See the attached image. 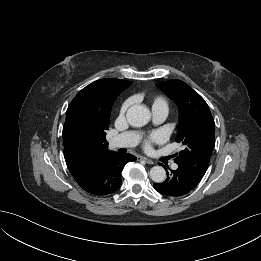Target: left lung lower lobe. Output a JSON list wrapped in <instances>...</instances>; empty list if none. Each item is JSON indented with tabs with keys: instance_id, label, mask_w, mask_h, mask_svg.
I'll return each mask as SVG.
<instances>
[{
	"instance_id": "1",
	"label": "left lung lower lobe",
	"mask_w": 261,
	"mask_h": 261,
	"mask_svg": "<svg viewBox=\"0 0 261 261\" xmlns=\"http://www.w3.org/2000/svg\"><path fill=\"white\" fill-rule=\"evenodd\" d=\"M200 181L189 170L179 165L176 170H171L170 174L167 172L164 182L154 183L153 187L160 194L177 197L190 192Z\"/></svg>"
}]
</instances>
